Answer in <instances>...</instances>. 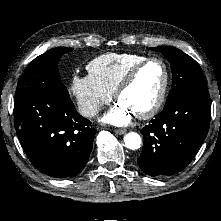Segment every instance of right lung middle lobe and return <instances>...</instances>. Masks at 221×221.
<instances>
[{
    "mask_svg": "<svg viewBox=\"0 0 221 221\" xmlns=\"http://www.w3.org/2000/svg\"><path fill=\"white\" fill-rule=\"evenodd\" d=\"M72 50L64 47L53 48L36 57L19 77L14 103L36 93H52L69 98L57 65L61 56Z\"/></svg>",
    "mask_w": 221,
    "mask_h": 221,
    "instance_id": "1",
    "label": "right lung middle lobe"
}]
</instances>
